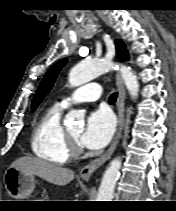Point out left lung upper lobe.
Masks as SVG:
<instances>
[{
	"mask_svg": "<svg viewBox=\"0 0 176 211\" xmlns=\"http://www.w3.org/2000/svg\"><path fill=\"white\" fill-rule=\"evenodd\" d=\"M117 55L119 58L128 60V52L122 41L116 40ZM66 59H63L50 68L44 76L32 101V111H34L44 96L50 91L61 68L65 65Z\"/></svg>",
	"mask_w": 176,
	"mask_h": 211,
	"instance_id": "left-lung-upper-lobe-1",
	"label": "left lung upper lobe"
}]
</instances>
